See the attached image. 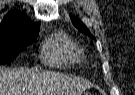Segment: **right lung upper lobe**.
Here are the masks:
<instances>
[{
  "label": "right lung upper lobe",
  "mask_w": 135,
  "mask_h": 95,
  "mask_svg": "<svg viewBox=\"0 0 135 95\" xmlns=\"http://www.w3.org/2000/svg\"><path fill=\"white\" fill-rule=\"evenodd\" d=\"M39 24L33 23L25 14L19 11H10L0 24V36L13 32L38 33Z\"/></svg>",
  "instance_id": "obj_1"
}]
</instances>
